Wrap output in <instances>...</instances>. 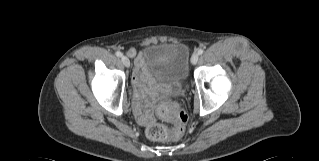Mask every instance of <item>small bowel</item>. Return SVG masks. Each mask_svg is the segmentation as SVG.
Listing matches in <instances>:
<instances>
[{
  "label": "small bowel",
  "instance_id": "c3829d8e",
  "mask_svg": "<svg viewBox=\"0 0 319 161\" xmlns=\"http://www.w3.org/2000/svg\"><path fill=\"white\" fill-rule=\"evenodd\" d=\"M127 55L129 57L136 56V50L134 48H130L127 50ZM143 60L141 55L139 54L135 59V67L132 74V82L138 87L137 97L141 101H145L147 106L150 105V97L154 93V89L146 88L144 85L145 80L147 79L146 73L143 71ZM137 116L143 120H150V116L148 113L137 110Z\"/></svg>",
  "mask_w": 319,
  "mask_h": 161
}]
</instances>
